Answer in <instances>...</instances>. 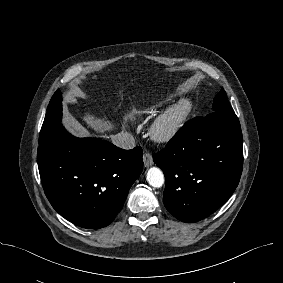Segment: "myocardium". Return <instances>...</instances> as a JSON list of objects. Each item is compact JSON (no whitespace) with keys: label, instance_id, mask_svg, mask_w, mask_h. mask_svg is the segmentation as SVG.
Returning <instances> with one entry per match:
<instances>
[{"label":"myocardium","instance_id":"f54148a6","mask_svg":"<svg viewBox=\"0 0 283 283\" xmlns=\"http://www.w3.org/2000/svg\"><path fill=\"white\" fill-rule=\"evenodd\" d=\"M192 104L181 99L160 112L149 128L151 139L159 143L170 141L181 129L190 114Z\"/></svg>","mask_w":283,"mask_h":283}]
</instances>
